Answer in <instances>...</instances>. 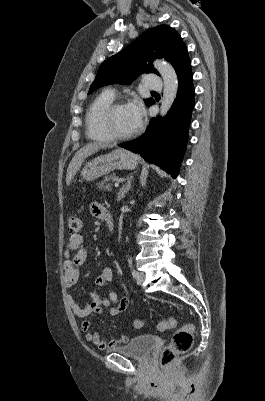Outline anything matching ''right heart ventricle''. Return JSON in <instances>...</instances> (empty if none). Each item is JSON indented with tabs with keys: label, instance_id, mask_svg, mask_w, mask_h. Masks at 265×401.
I'll return each instance as SVG.
<instances>
[{
	"label": "right heart ventricle",
	"instance_id": "1",
	"mask_svg": "<svg viewBox=\"0 0 265 401\" xmlns=\"http://www.w3.org/2000/svg\"><path fill=\"white\" fill-rule=\"evenodd\" d=\"M111 91H103L89 104L85 114V126L87 136L95 141H108L106 135L99 126V118L102 111L114 101Z\"/></svg>",
	"mask_w": 265,
	"mask_h": 401
}]
</instances>
